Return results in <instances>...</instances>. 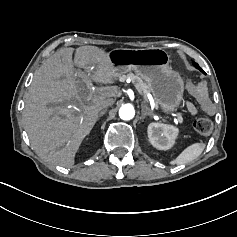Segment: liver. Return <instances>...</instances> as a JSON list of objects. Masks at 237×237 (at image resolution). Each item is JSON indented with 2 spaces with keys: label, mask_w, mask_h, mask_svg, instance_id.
I'll list each match as a JSON object with an SVG mask.
<instances>
[{
  "label": "liver",
  "mask_w": 237,
  "mask_h": 237,
  "mask_svg": "<svg viewBox=\"0 0 237 237\" xmlns=\"http://www.w3.org/2000/svg\"><path fill=\"white\" fill-rule=\"evenodd\" d=\"M74 65L84 71L76 72ZM86 75L98 84H115L117 75L106 49H61L33 77L22 117L33 150L46 163L73 166L103 109L101 102L120 96L117 86H109L98 88L93 97H80ZM87 101L89 105L84 104Z\"/></svg>",
  "instance_id": "obj_1"
}]
</instances>
